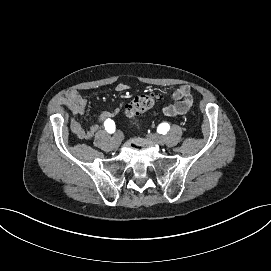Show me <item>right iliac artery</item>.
Segmentation results:
<instances>
[{
  "mask_svg": "<svg viewBox=\"0 0 271 271\" xmlns=\"http://www.w3.org/2000/svg\"><path fill=\"white\" fill-rule=\"evenodd\" d=\"M104 126H105V130L108 132V133H114L115 132V123L113 120L111 119H107L105 122H104Z\"/></svg>",
  "mask_w": 271,
  "mask_h": 271,
  "instance_id": "1",
  "label": "right iliac artery"
}]
</instances>
